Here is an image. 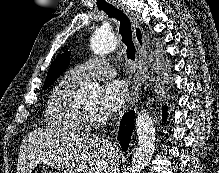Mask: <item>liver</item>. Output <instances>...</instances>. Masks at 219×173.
<instances>
[{
  "label": "liver",
  "instance_id": "obj_1",
  "mask_svg": "<svg viewBox=\"0 0 219 173\" xmlns=\"http://www.w3.org/2000/svg\"><path fill=\"white\" fill-rule=\"evenodd\" d=\"M39 163L64 173H116L119 168L117 154L103 137L49 128L33 130L23 139L16 173H31Z\"/></svg>",
  "mask_w": 219,
  "mask_h": 173
}]
</instances>
